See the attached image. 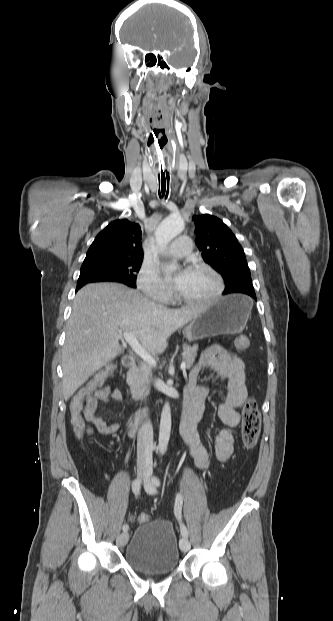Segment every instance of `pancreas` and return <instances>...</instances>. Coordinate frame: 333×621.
<instances>
[{
  "mask_svg": "<svg viewBox=\"0 0 333 621\" xmlns=\"http://www.w3.org/2000/svg\"><path fill=\"white\" fill-rule=\"evenodd\" d=\"M183 350V361L186 362L187 368H191L197 356L198 346L184 345ZM151 376L152 367L145 363L130 372V386L135 399H141L149 393Z\"/></svg>",
  "mask_w": 333,
  "mask_h": 621,
  "instance_id": "pancreas-1",
  "label": "pancreas"
}]
</instances>
